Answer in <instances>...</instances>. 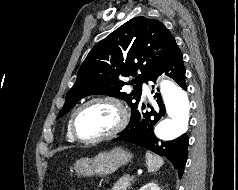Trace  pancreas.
Here are the masks:
<instances>
[{
	"mask_svg": "<svg viewBox=\"0 0 238 190\" xmlns=\"http://www.w3.org/2000/svg\"><path fill=\"white\" fill-rule=\"evenodd\" d=\"M132 179L129 176L121 177L111 190H127L131 186Z\"/></svg>",
	"mask_w": 238,
	"mask_h": 190,
	"instance_id": "1",
	"label": "pancreas"
}]
</instances>
